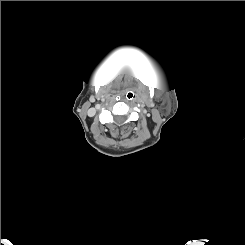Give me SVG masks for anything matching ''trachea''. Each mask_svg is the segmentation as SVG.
<instances>
[{"mask_svg": "<svg viewBox=\"0 0 245 245\" xmlns=\"http://www.w3.org/2000/svg\"><path fill=\"white\" fill-rule=\"evenodd\" d=\"M126 97H127V99L132 100L135 97V95H134V93L132 91H129L126 94Z\"/></svg>", "mask_w": 245, "mask_h": 245, "instance_id": "trachea-1", "label": "trachea"}]
</instances>
